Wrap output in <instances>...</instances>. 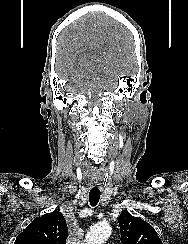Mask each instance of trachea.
Returning <instances> with one entry per match:
<instances>
[{"label": "trachea", "instance_id": "trachea-1", "mask_svg": "<svg viewBox=\"0 0 188 244\" xmlns=\"http://www.w3.org/2000/svg\"><path fill=\"white\" fill-rule=\"evenodd\" d=\"M99 184L98 180H95L94 183L92 184L91 191L89 192V202L91 206H96L99 202L100 199V188H96L97 185Z\"/></svg>", "mask_w": 188, "mask_h": 244}]
</instances>
